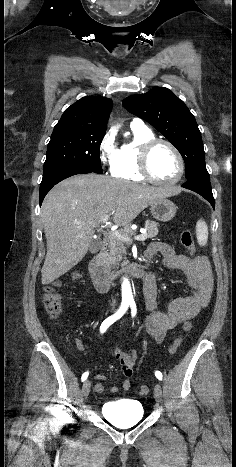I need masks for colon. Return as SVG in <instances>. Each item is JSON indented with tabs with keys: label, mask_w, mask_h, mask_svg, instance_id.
Segmentation results:
<instances>
[{
	"label": "colon",
	"mask_w": 236,
	"mask_h": 467,
	"mask_svg": "<svg viewBox=\"0 0 236 467\" xmlns=\"http://www.w3.org/2000/svg\"><path fill=\"white\" fill-rule=\"evenodd\" d=\"M180 242L181 244L190 252V253H195V245L193 241V236L189 230H183L180 233ZM60 287L59 283H53L49 285L44 294V305L46 308V311L48 315L55 319L58 318L62 314V303H61V297L58 293V288ZM192 329V323L191 322H185L183 325V330L184 332H189ZM182 342V338H178L174 341V343L170 347V354H174L177 349L179 348L180 344ZM148 387L146 385H142L140 387V393L141 394H147L148 393Z\"/></svg>",
	"instance_id": "5ec220e1"
}]
</instances>
